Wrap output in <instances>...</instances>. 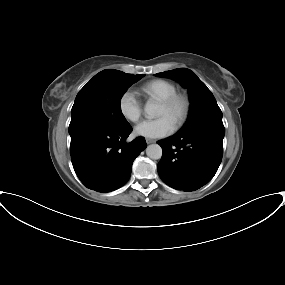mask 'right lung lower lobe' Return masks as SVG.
Listing matches in <instances>:
<instances>
[{
	"instance_id": "1",
	"label": "right lung lower lobe",
	"mask_w": 285,
	"mask_h": 285,
	"mask_svg": "<svg viewBox=\"0 0 285 285\" xmlns=\"http://www.w3.org/2000/svg\"><path fill=\"white\" fill-rule=\"evenodd\" d=\"M131 131L130 125L112 129L90 124L70 133L72 164L87 188L110 192L129 180L133 161L146 148L143 137L125 142Z\"/></svg>"
}]
</instances>
